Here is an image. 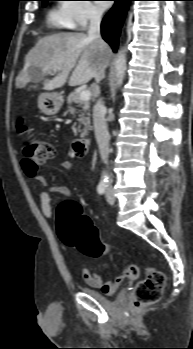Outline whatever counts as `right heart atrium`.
<instances>
[{
    "label": "right heart atrium",
    "mask_w": 193,
    "mask_h": 349,
    "mask_svg": "<svg viewBox=\"0 0 193 349\" xmlns=\"http://www.w3.org/2000/svg\"><path fill=\"white\" fill-rule=\"evenodd\" d=\"M64 10L76 29H85L91 22L100 20L103 14L102 9L91 0H67Z\"/></svg>",
    "instance_id": "1"
}]
</instances>
